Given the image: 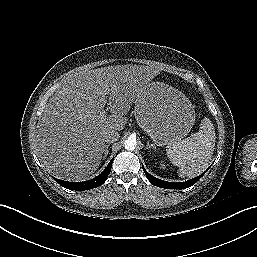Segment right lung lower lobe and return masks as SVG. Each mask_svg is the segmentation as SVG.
<instances>
[{
	"label": "right lung lower lobe",
	"mask_w": 257,
	"mask_h": 257,
	"mask_svg": "<svg viewBox=\"0 0 257 257\" xmlns=\"http://www.w3.org/2000/svg\"><path fill=\"white\" fill-rule=\"evenodd\" d=\"M112 163H113V159L109 162L105 170L100 175L88 181L74 183V182L63 181L56 178H54V180L64 188L75 190V191H84V190L96 188L98 186H101L107 180V177L111 171Z\"/></svg>",
	"instance_id": "98d812e1"
}]
</instances>
